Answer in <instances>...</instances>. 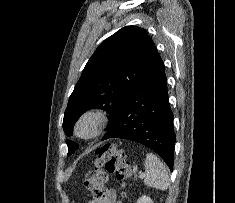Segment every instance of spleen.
Instances as JSON below:
<instances>
[{
    "label": "spleen",
    "mask_w": 235,
    "mask_h": 203,
    "mask_svg": "<svg viewBox=\"0 0 235 203\" xmlns=\"http://www.w3.org/2000/svg\"><path fill=\"white\" fill-rule=\"evenodd\" d=\"M144 167L146 173L144 183L146 185L160 190H166L169 187L168 172L156 155L148 153L145 158Z\"/></svg>",
    "instance_id": "3e777b00"
}]
</instances>
